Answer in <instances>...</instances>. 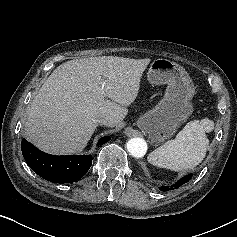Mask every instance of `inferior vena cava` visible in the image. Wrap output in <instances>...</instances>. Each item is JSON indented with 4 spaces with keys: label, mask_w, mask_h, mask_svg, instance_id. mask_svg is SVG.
Returning <instances> with one entry per match:
<instances>
[{
    "label": "inferior vena cava",
    "mask_w": 237,
    "mask_h": 237,
    "mask_svg": "<svg viewBox=\"0 0 237 237\" xmlns=\"http://www.w3.org/2000/svg\"><path fill=\"white\" fill-rule=\"evenodd\" d=\"M98 124L108 125L113 122V119L110 116L100 115L95 120Z\"/></svg>",
    "instance_id": "obj_1"
}]
</instances>
